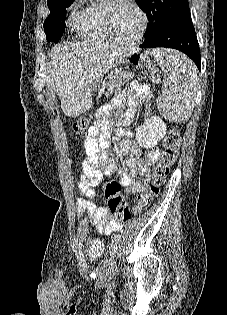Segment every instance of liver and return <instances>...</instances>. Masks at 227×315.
<instances>
[{
  "label": "liver",
  "instance_id": "1",
  "mask_svg": "<svg viewBox=\"0 0 227 315\" xmlns=\"http://www.w3.org/2000/svg\"><path fill=\"white\" fill-rule=\"evenodd\" d=\"M46 75L47 93L61 100L65 115L76 118L92 107V87L103 74L123 62L125 52L100 43H64L55 45Z\"/></svg>",
  "mask_w": 227,
  "mask_h": 315
}]
</instances>
